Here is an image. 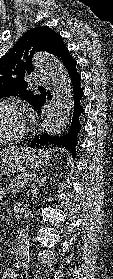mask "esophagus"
I'll return each instance as SVG.
<instances>
[{"mask_svg":"<svg viewBox=\"0 0 113 279\" xmlns=\"http://www.w3.org/2000/svg\"><path fill=\"white\" fill-rule=\"evenodd\" d=\"M53 102H54V100H53ZM44 129V125L43 124H41V129L40 130H43Z\"/></svg>","mask_w":113,"mask_h":279,"instance_id":"34e87169","label":"esophagus"}]
</instances>
